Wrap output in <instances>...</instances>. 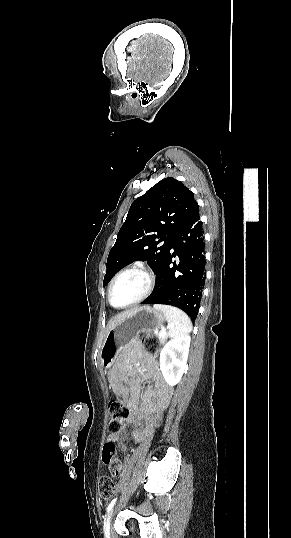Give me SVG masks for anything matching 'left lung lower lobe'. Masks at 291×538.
I'll return each mask as SVG.
<instances>
[{"label":"left lung lower lobe","instance_id":"1","mask_svg":"<svg viewBox=\"0 0 291 538\" xmlns=\"http://www.w3.org/2000/svg\"><path fill=\"white\" fill-rule=\"evenodd\" d=\"M204 247L202 222L197 211L175 234L156 271L157 284L141 304L176 306L194 322L205 284ZM174 257H178L177 262H172Z\"/></svg>","mask_w":291,"mask_h":538}]
</instances>
